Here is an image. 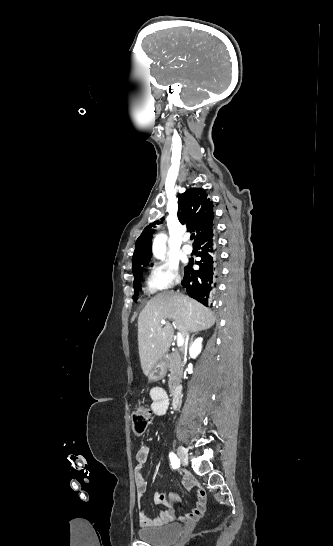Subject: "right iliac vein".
Listing matches in <instances>:
<instances>
[{
	"mask_svg": "<svg viewBox=\"0 0 333 546\" xmlns=\"http://www.w3.org/2000/svg\"><path fill=\"white\" fill-rule=\"evenodd\" d=\"M177 454L183 465L188 463V454L187 450L183 446H179L177 449Z\"/></svg>",
	"mask_w": 333,
	"mask_h": 546,
	"instance_id": "63e3f726",
	"label": "right iliac vein"
}]
</instances>
